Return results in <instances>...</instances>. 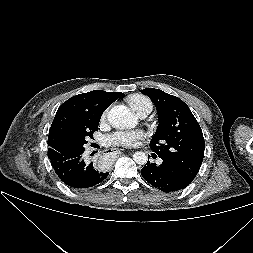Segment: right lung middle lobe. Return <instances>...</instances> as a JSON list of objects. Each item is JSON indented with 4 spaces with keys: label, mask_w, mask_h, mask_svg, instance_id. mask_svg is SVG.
<instances>
[{
    "label": "right lung middle lobe",
    "mask_w": 253,
    "mask_h": 253,
    "mask_svg": "<svg viewBox=\"0 0 253 253\" xmlns=\"http://www.w3.org/2000/svg\"><path fill=\"white\" fill-rule=\"evenodd\" d=\"M99 120L96 123L95 129L91 132L84 133L78 135L77 137L73 138L71 141H65L61 144L60 152L67 153L72 151H78L84 149V144L87 143L86 139L88 137L93 138V132L98 130Z\"/></svg>",
    "instance_id": "1"
}]
</instances>
